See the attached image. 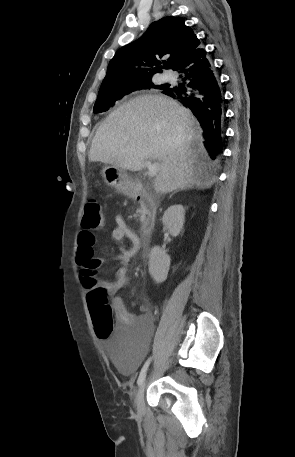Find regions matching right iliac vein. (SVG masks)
<instances>
[{"instance_id": "1", "label": "right iliac vein", "mask_w": 295, "mask_h": 457, "mask_svg": "<svg viewBox=\"0 0 295 457\" xmlns=\"http://www.w3.org/2000/svg\"><path fill=\"white\" fill-rule=\"evenodd\" d=\"M146 387V381L142 383L135 398V407L138 413H142L144 411L145 403H144V392Z\"/></svg>"}]
</instances>
